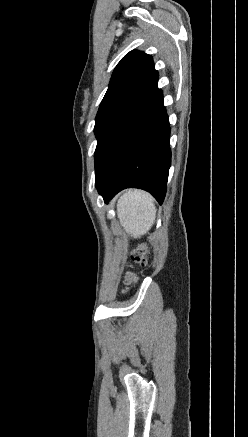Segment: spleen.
<instances>
[{
    "label": "spleen",
    "instance_id": "spleen-1",
    "mask_svg": "<svg viewBox=\"0 0 248 437\" xmlns=\"http://www.w3.org/2000/svg\"><path fill=\"white\" fill-rule=\"evenodd\" d=\"M117 215L126 232L139 237L154 224V198L141 190H128L118 200Z\"/></svg>",
    "mask_w": 248,
    "mask_h": 437
}]
</instances>
